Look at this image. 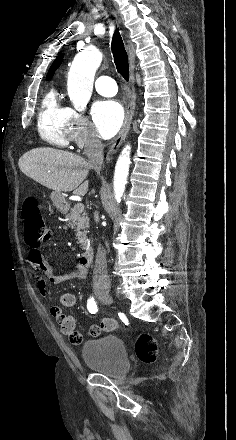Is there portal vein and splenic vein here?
<instances>
[{"label": "portal vein and splenic vein", "instance_id": "obj_1", "mask_svg": "<svg viewBox=\"0 0 236 440\" xmlns=\"http://www.w3.org/2000/svg\"><path fill=\"white\" fill-rule=\"evenodd\" d=\"M78 211L82 212L84 210V205L82 203H77L75 205Z\"/></svg>", "mask_w": 236, "mask_h": 440}]
</instances>
